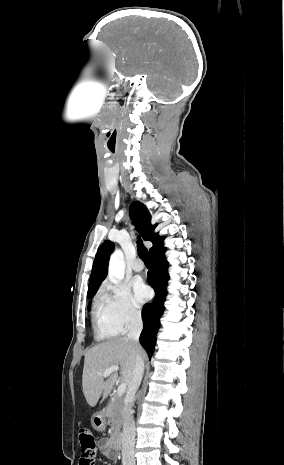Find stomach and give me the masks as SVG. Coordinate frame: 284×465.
<instances>
[{
    "instance_id": "stomach-1",
    "label": "stomach",
    "mask_w": 284,
    "mask_h": 465,
    "mask_svg": "<svg viewBox=\"0 0 284 465\" xmlns=\"http://www.w3.org/2000/svg\"><path fill=\"white\" fill-rule=\"evenodd\" d=\"M91 425L93 429H95V431H99V433H103V431H105L107 421L104 411H98V413H94V415H92Z\"/></svg>"
}]
</instances>
